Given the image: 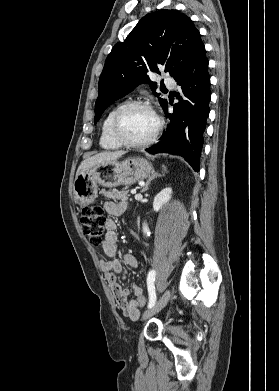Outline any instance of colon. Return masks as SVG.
I'll return each mask as SVG.
<instances>
[{
  "label": "colon",
  "instance_id": "colon-1",
  "mask_svg": "<svg viewBox=\"0 0 279 391\" xmlns=\"http://www.w3.org/2000/svg\"><path fill=\"white\" fill-rule=\"evenodd\" d=\"M81 226L84 233L88 237L93 246H100L103 242V234L105 230V216L101 206L94 205L85 207L81 214ZM139 308H144L146 305L145 297H137Z\"/></svg>",
  "mask_w": 279,
  "mask_h": 391
}]
</instances>
